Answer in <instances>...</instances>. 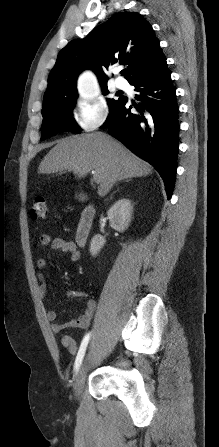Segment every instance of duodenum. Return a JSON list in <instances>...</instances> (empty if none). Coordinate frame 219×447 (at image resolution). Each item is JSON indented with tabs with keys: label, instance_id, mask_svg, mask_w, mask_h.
Returning <instances> with one entry per match:
<instances>
[{
	"label": "duodenum",
	"instance_id": "410a0bca",
	"mask_svg": "<svg viewBox=\"0 0 219 447\" xmlns=\"http://www.w3.org/2000/svg\"><path fill=\"white\" fill-rule=\"evenodd\" d=\"M81 198L84 200L85 196L83 195ZM95 215L96 208L93 204H88L81 212L75 233V240L79 246L86 244L93 227Z\"/></svg>",
	"mask_w": 219,
	"mask_h": 447
}]
</instances>
